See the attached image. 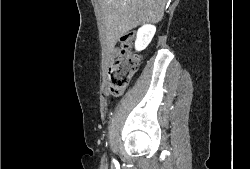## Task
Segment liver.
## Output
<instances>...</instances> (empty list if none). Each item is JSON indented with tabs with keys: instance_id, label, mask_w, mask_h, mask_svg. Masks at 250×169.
I'll return each instance as SVG.
<instances>
[{
	"instance_id": "liver-1",
	"label": "liver",
	"mask_w": 250,
	"mask_h": 169,
	"mask_svg": "<svg viewBox=\"0 0 250 169\" xmlns=\"http://www.w3.org/2000/svg\"><path fill=\"white\" fill-rule=\"evenodd\" d=\"M165 4L166 0H100L108 48H114L118 38L138 24L159 22Z\"/></svg>"
}]
</instances>
